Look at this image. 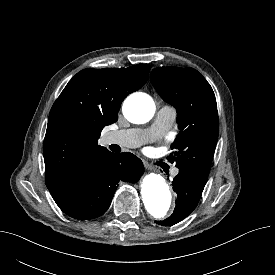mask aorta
Masks as SVG:
<instances>
[{"label":"aorta","instance_id":"762f6f07","mask_svg":"<svg viewBox=\"0 0 275 275\" xmlns=\"http://www.w3.org/2000/svg\"><path fill=\"white\" fill-rule=\"evenodd\" d=\"M155 102L145 93L129 96L123 104V114L132 123L148 122L155 113ZM141 195L147 212L154 218H163L172 208L174 199L164 178L159 174H147L141 184Z\"/></svg>","mask_w":275,"mask_h":275}]
</instances>
